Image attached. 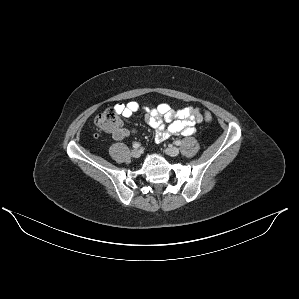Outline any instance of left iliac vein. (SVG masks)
Here are the masks:
<instances>
[{
	"label": "left iliac vein",
	"instance_id": "1",
	"mask_svg": "<svg viewBox=\"0 0 299 299\" xmlns=\"http://www.w3.org/2000/svg\"><path fill=\"white\" fill-rule=\"evenodd\" d=\"M179 149L174 146H169L168 148L165 149V153L169 156L175 157L179 154Z\"/></svg>",
	"mask_w": 299,
	"mask_h": 299
}]
</instances>
